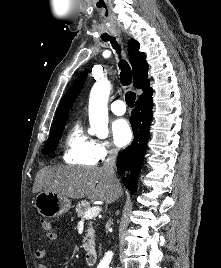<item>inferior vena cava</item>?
<instances>
[{
  "label": "inferior vena cava",
  "instance_id": "602c4592",
  "mask_svg": "<svg viewBox=\"0 0 221 268\" xmlns=\"http://www.w3.org/2000/svg\"><path fill=\"white\" fill-rule=\"evenodd\" d=\"M118 154L117 149H111L109 151V155L104 162L103 168L108 175H110L113 179H116L115 176V167H116V157Z\"/></svg>",
  "mask_w": 221,
  "mask_h": 268
}]
</instances>
